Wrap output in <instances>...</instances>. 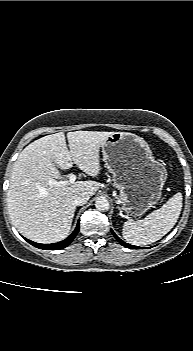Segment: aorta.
<instances>
[{"mask_svg":"<svg viewBox=\"0 0 193 351\" xmlns=\"http://www.w3.org/2000/svg\"><path fill=\"white\" fill-rule=\"evenodd\" d=\"M109 206V201L103 196L98 197L95 201V207L99 211H107Z\"/></svg>","mask_w":193,"mask_h":351,"instance_id":"762f6f07","label":"aorta"}]
</instances>
